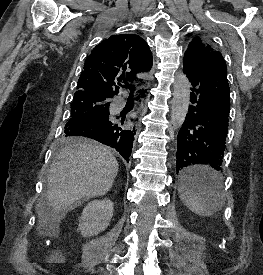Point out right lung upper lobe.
Wrapping results in <instances>:
<instances>
[{
    "label": "right lung upper lobe",
    "instance_id": "obj_1",
    "mask_svg": "<svg viewBox=\"0 0 263 275\" xmlns=\"http://www.w3.org/2000/svg\"><path fill=\"white\" fill-rule=\"evenodd\" d=\"M152 61V52L140 36L112 35L95 46L87 57L74 96L93 94L112 98L119 93L117 82H132L136 73L152 67Z\"/></svg>",
    "mask_w": 263,
    "mask_h": 275
}]
</instances>
